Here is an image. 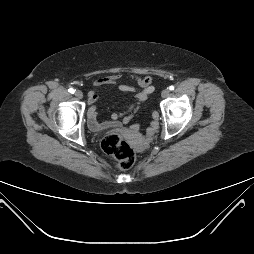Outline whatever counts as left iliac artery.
I'll use <instances>...</instances> for the list:
<instances>
[{
	"instance_id": "left-iliac-artery-1",
	"label": "left iliac artery",
	"mask_w": 254,
	"mask_h": 254,
	"mask_svg": "<svg viewBox=\"0 0 254 254\" xmlns=\"http://www.w3.org/2000/svg\"><path fill=\"white\" fill-rule=\"evenodd\" d=\"M169 90H171V91L174 90V86H170Z\"/></svg>"
}]
</instances>
